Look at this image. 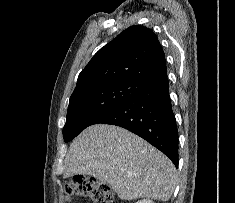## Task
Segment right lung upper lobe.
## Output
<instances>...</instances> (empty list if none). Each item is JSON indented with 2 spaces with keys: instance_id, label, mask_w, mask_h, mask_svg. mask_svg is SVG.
I'll return each instance as SVG.
<instances>
[{
  "instance_id": "cb5924a9",
  "label": "right lung upper lobe",
  "mask_w": 235,
  "mask_h": 203,
  "mask_svg": "<svg viewBox=\"0 0 235 203\" xmlns=\"http://www.w3.org/2000/svg\"><path fill=\"white\" fill-rule=\"evenodd\" d=\"M165 54L155 33L134 25L102 47L78 76L74 91L106 81L148 85L166 75Z\"/></svg>"
}]
</instances>
